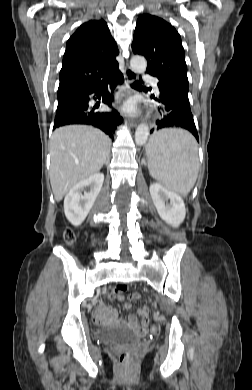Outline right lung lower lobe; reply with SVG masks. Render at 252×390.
<instances>
[{
	"label": "right lung lower lobe",
	"instance_id": "1",
	"mask_svg": "<svg viewBox=\"0 0 252 390\" xmlns=\"http://www.w3.org/2000/svg\"><path fill=\"white\" fill-rule=\"evenodd\" d=\"M124 78L119 69L99 85L85 88L76 94L58 101L56 117L53 129L69 124L93 125L104 131L113 140L115 129L122 123V117L113 109L110 113L96 111L95 107H90L88 102L90 95H103V102L111 107L113 96L107 88L114 90L118 83H123Z\"/></svg>",
	"mask_w": 252,
	"mask_h": 390
}]
</instances>
